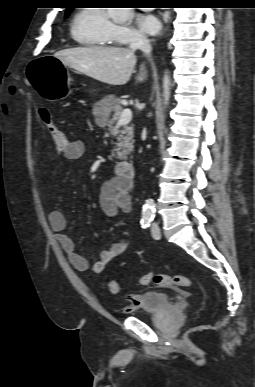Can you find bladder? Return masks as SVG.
<instances>
[{"mask_svg": "<svg viewBox=\"0 0 255 387\" xmlns=\"http://www.w3.org/2000/svg\"><path fill=\"white\" fill-rule=\"evenodd\" d=\"M140 303L126 314L140 316L141 314L155 315L173 306L169 294L160 291H150L140 295Z\"/></svg>", "mask_w": 255, "mask_h": 387, "instance_id": "31cf9c89", "label": "bladder"}]
</instances>
